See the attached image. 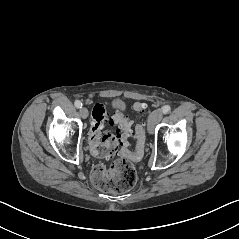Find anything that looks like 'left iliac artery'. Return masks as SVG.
<instances>
[{"mask_svg": "<svg viewBox=\"0 0 239 239\" xmlns=\"http://www.w3.org/2000/svg\"><path fill=\"white\" fill-rule=\"evenodd\" d=\"M170 110H171V107H170L169 105H165V106H163V108H162V112H163L164 114L169 113Z\"/></svg>", "mask_w": 239, "mask_h": 239, "instance_id": "44dca946", "label": "left iliac artery"}]
</instances>
